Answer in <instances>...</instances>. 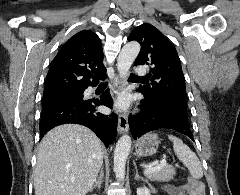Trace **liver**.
Instances as JSON below:
<instances>
[{"label": "liver", "instance_id": "1", "mask_svg": "<svg viewBox=\"0 0 240 195\" xmlns=\"http://www.w3.org/2000/svg\"><path fill=\"white\" fill-rule=\"evenodd\" d=\"M102 149L85 125L64 123L50 129L37 151L35 195H85L102 165Z\"/></svg>", "mask_w": 240, "mask_h": 195}]
</instances>
